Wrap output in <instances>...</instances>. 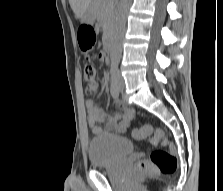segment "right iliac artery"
<instances>
[{"instance_id":"obj_1","label":"right iliac artery","mask_w":223,"mask_h":191,"mask_svg":"<svg viewBox=\"0 0 223 191\" xmlns=\"http://www.w3.org/2000/svg\"><path fill=\"white\" fill-rule=\"evenodd\" d=\"M117 68L116 67H112L111 68V87H110V91L111 94L113 96L114 99H117L120 93L118 84H117Z\"/></svg>"}]
</instances>
